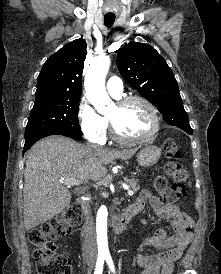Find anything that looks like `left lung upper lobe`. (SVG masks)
Instances as JSON below:
<instances>
[{"instance_id": "left-lung-upper-lobe-1", "label": "left lung upper lobe", "mask_w": 221, "mask_h": 274, "mask_svg": "<svg viewBox=\"0 0 221 274\" xmlns=\"http://www.w3.org/2000/svg\"><path fill=\"white\" fill-rule=\"evenodd\" d=\"M117 67L123 79L156 106L164 118L183 107L172 70L152 46L136 42L123 46L117 54ZM178 118L174 123L182 122Z\"/></svg>"}]
</instances>
